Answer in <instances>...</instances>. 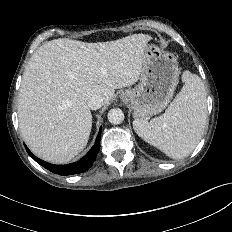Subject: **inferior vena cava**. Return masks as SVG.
Returning a JSON list of instances; mask_svg holds the SVG:
<instances>
[{
	"instance_id": "inferior-vena-cava-1",
	"label": "inferior vena cava",
	"mask_w": 232,
	"mask_h": 232,
	"mask_svg": "<svg viewBox=\"0 0 232 232\" xmlns=\"http://www.w3.org/2000/svg\"><path fill=\"white\" fill-rule=\"evenodd\" d=\"M103 105V99L99 95H92L88 100V106L92 110H97Z\"/></svg>"
}]
</instances>
